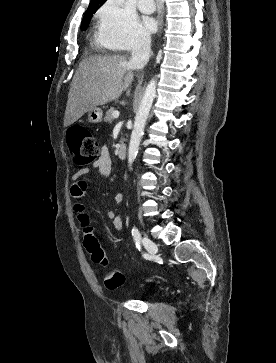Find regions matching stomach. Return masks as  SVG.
Returning a JSON list of instances; mask_svg holds the SVG:
<instances>
[{"label": "stomach", "instance_id": "obj_1", "mask_svg": "<svg viewBox=\"0 0 276 363\" xmlns=\"http://www.w3.org/2000/svg\"><path fill=\"white\" fill-rule=\"evenodd\" d=\"M103 111L102 109L95 107L88 111V120L91 123H99L102 121Z\"/></svg>", "mask_w": 276, "mask_h": 363}]
</instances>
